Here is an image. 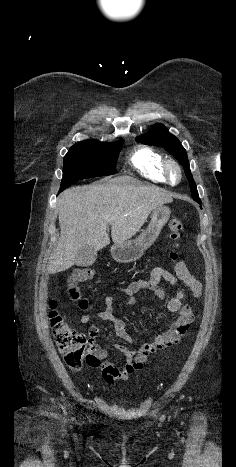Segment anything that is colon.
Segmentation results:
<instances>
[{
    "label": "colon",
    "instance_id": "5ec220e1",
    "mask_svg": "<svg viewBox=\"0 0 236 467\" xmlns=\"http://www.w3.org/2000/svg\"><path fill=\"white\" fill-rule=\"evenodd\" d=\"M169 229L171 238L175 240V246L185 235V228L179 219H171L169 221ZM171 260L178 259V252L171 251L169 254ZM94 276V269L90 267L78 268L72 276L67 280V292L72 300L78 302V306L82 310H86L89 303L86 299L80 297L77 282L88 280ZM56 302L51 301V311L49 313L50 324L53 329L54 339L58 350L63 357L66 365L75 371L82 368L87 362L86 346L87 341L82 333L74 330L65 320L64 316L56 309Z\"/></svg>",
    "mask_w": 236,
    "mask_h": 467
}]
</instances>
